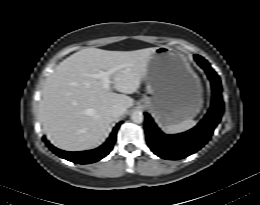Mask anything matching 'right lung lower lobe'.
Listing matches in <instances>:
<instances>
[{
    "mask_svg": "<svg viewBox=\"0 0 260 205\" xmlns=\"http://www.w3.org/2000/svg\"><path fill=\"white\" fill-rule=\"evenodd\" d=\"M120 124L121 123L116 125V127L113 129L111 136L102 146L93 150L82 152H67L53 147L45 138H43V140L45 141L46 145L61 158H64L77 164H89L99 161L100 159L104 158L106 155L110 153L115 143L116 133Z\"/></svg>",
    "mask_w": 260,
    "mask_h": 205,
    "instance_id": "98d812e1",
    "label": "right lung lower lobe"
}]
</instances>
